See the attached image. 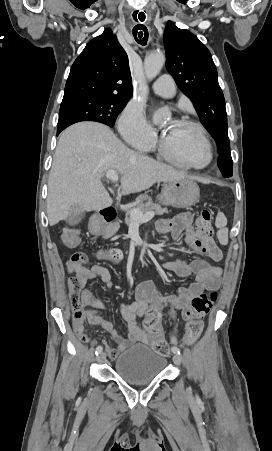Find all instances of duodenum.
<instances>
[{
	"mask_svg": "<svg viewBox=\"0 0 272 451\" xmlns=\"http://www.w3.org/2000/svg\"><path fill=\"white\" fill-rule=\"evenodd\" d=\"M116 219V209L113 206H106L101 209L100 214L90 224V231L93 235L106 237L108 226Z\"/></svg>",
	"mask_w": 272,
	"mask_h": 451,
	"instance_id": "410a0bca",
	"label": "duodenum"
}]
</instances>
